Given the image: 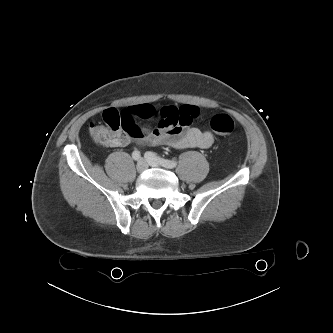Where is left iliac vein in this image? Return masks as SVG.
Instances as JSON below:
<instances>
[{
    "label": "left iliac vein",
    "mask_w": 333,
    "mask_h": 333,
    "mask_svg": "<svg viewBox=\"0 0 333 333\" xmlns=\"http://www.w3.org/2000/svg\"><path fill=\"white\" fill-rule=\"evenodd\" d=\"M146 162L150 165V166H152V167H159V166H163L161 163H160V161H159V159L156 157V156H150V157H147L146 158ZM164 167V166H163Z\"/></svg>",
    "instance_id": "obj_1"
}]
</instances>
